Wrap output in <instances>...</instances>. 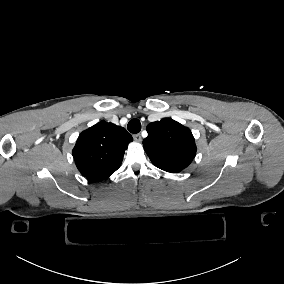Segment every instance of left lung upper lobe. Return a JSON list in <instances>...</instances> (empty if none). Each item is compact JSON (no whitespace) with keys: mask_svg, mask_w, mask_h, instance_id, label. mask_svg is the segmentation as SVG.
Wrapping results in <instances>:
<instances>
[{"mask_svg":"<svg viewBox=\"0 0 284 284\" xmlns=\"http://www.w3.org/2000/svg\"><path fill=\"white\" fill-rule=\"evenodd\" d=\"M143 147L152 163L167 172L178 173L194 159L196 145L189 128L170 118L147 125Z\"/></svg>","mask_w":284,"mask_h":284,"instance_id":"1","label":"left lung upper lobe"}]
</instances>
